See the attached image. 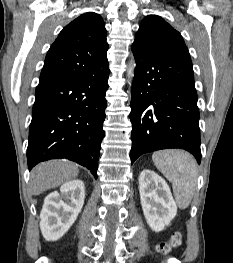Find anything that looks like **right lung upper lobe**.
Returning a JSON list of instances; mask_svg holds the SVG:
<instances>
[{
    "label": "right lung upper lobe",
    "instance_id": "right-lung-upper-lobe-1",
    "mask_svg": "<svg viewBox=\"0 0 233 263\" xmlns=\"http://www.w3.org/2000/svg\"><path fill=\"white\" fill-rule=\"evenodd\" d=\"M106 35L103 19L94 12L85 13L73 20L51 45L39 84L93 74L107 61L109 45Z\"/></svg>",
    "mask_w": 233,
    "mask_h": 263
}]
</instances>
